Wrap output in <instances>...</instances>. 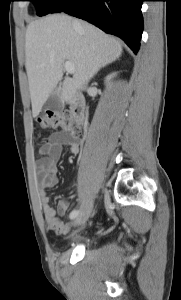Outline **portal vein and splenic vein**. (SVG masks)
<instances>
[{"mask_svg": "<svg viewBox=\"0 0 181 300\" xmlns=\"http://www.w3.org/2000/svg\"><path fill=\"white\" fill-rule=\"evenodd\" d=\"M64 68L65 70L67 71V73L69 74H74L75 73V67L74 65L69 62V61H66L65 64H64Z\"/></svg>", "mask_w": 181, "mask_h": 300, "instance_id": "18ae733b", "label": "portal vein and splenic vein"}]
</instances>
